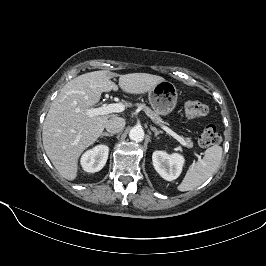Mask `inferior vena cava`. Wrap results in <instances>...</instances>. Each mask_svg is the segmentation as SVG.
I'll use <instances>...</instances> for the list:
<instances>
[{
	"label": "inferior vena cava",
	"instance_id": "inferior-vena-cava-1",
	"mask_svg": "<svg viewBox=\"0 0 266 266\" xmlns=\"http://www.w3.org/2000/svg\"><path fill=\"white\" fill-rule=\"evenodd\" d=\"M125 120L121 117H113L109 119L105 125L108 132L115 134L121 132L125 127Z\"/></svg>",
	"mask_w": 266,
	"mask_h": 266
}]
</instances>
